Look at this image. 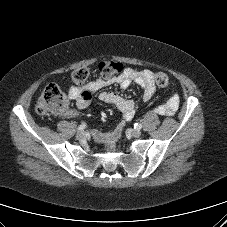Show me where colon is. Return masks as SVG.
Returning <instances> with one entry per match:
<instances>
[{
    "mask_svg": "<svg viewBox=\"0 0 227 227\" xmlns=\"http://www.w3.org/2000/svg\"><path fill=\"white\" fill-rule=\"evenodd\" d=\"M98 72L102 78H113L123 72V65L112 60H104L98 64ZM89 77V69L81 67L73 71L71 80L76 86L86 82ZM154 82L159 87H166L169 84V77L164 72L153 74ZM69 104L67 95L55 84L47 85L41 93L36 110L41 115H60L63 114Z\"/></svg>",
    "mask_w": 227,
    "mask_h": 227,
    "instance_id": "obj_1",
    "label": "colon"
}]
</instances>
